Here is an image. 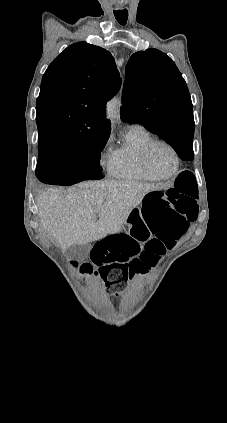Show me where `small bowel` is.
<instances>
[{
    "instance_id": "1",
    "label": "small bowel",
    "mask_w": 227,
    "mask_h": 423,
    "mask_svg": "<svg viewBox=\"0 0 227 423\" xmlns=\"http://www.w3.org/2000/svg\"><path fill=\"white\" fill-rule=\"evenodd\" d=\"M136 221L138 223H140L141 225H144L146 227V229L148 230L147 224L142 217H139ZM148 232H149V237H151L150 239H153V240L156 239L154 236H152V234L150 233L149 230H148Z\"/></svg>"
}]
</instances>
